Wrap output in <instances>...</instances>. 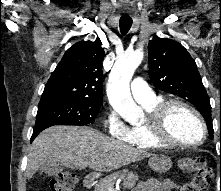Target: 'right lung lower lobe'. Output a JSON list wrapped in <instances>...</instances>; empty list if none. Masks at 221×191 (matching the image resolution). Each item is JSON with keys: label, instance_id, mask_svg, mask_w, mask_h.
I'll use <instances>...</instances> for the list:
<instances>
[{"label": "right lung lower lobe", "instance_id": "1", "mask_svg": "<svg viewBox=\"0 0 221 191\" xmlns=\"http://www.w3.org/2000/svg\"><path fill=\"white\" fill-rule=\"evenodd\" d=\"M53 126L52 122L46 121V120H39L36 121L35 127H34V132L31 137V142L35 139V137L44 129Z\"/></svg>", "mask_w": 221, "mask_h": 191}]
</instances>
